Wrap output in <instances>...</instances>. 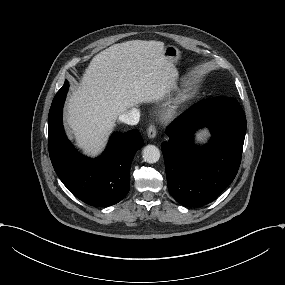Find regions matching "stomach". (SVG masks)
<instances>
[{
	"mask_svg": "<svg viewBox=\"0 0 285 285\" xmlns=\"http://www.w3.org/2000/svg\"><path fill=\"white\" fill-rule=\"evenodd\" d=\"M164 56L173 63H177L178 60L181 58V52L179 49L173 45H167L164 49ZM182 95H188V90L183 89Z\"/></svg>",
	"mask_w": 285,
	"mask_h": 285,
	"instance_id": "0dacf381",
	"label": "stomach"
}]
</instances>
